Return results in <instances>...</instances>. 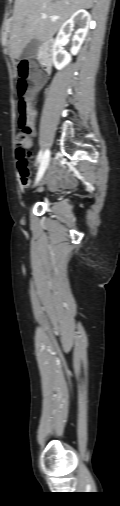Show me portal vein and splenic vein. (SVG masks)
Returning a JSON list of instances; mask_svg holds the SVG:
<instances>
[{
	"instance_id": "portal-vein-and-splenic-vein-1",
	"label": "portal vein and splenic vein",
	"mask_w": 120,
	"mask_h": 506,
	"mask_svg": "<svg viewBox=\"0 0 120 506\" xmlns=\"http://www.w3.org/2000/svg\"><path fill=\"white\" fill-rule=\"evenodd\" d=\"M42 18H43V19H46V18H47V15L42 14ZM51 19H52V20H56L57 18H56V17H52Z\"/></svg>"
}]
</instances>
